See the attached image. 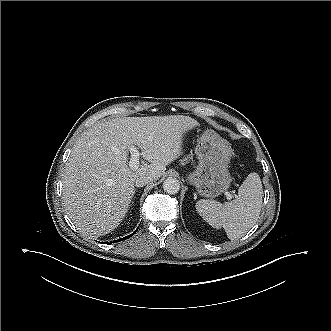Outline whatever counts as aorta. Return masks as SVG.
<instances>
[{
    "label": "aorta",
    "mask_w": 331,
    "mask_h": 331,
    "mask_svg": "<svg viewBox=\"0 0 331 331\" xmlns=\"http://www.w3.org/2000/svg\"><path fill=\"white\" fill-rule=\"evenodd\" d=\"M163 189L165 192L168 194H176L180 190V183L176 178L168 177L164 182H163Z\"/></svg>",
    "instance_id": "1"
}]
</instances>
